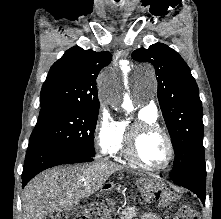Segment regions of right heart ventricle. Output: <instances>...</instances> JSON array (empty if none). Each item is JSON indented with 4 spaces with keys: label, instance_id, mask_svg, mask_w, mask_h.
<instances>
[{
    "label": "right heart ventricle",
    "instance_id": "1",
    "mask_svg": "<svg viewBox=\"0 0 221 219\" xmlns=\"http://www.w3.org/2000/svg\"><path fill=\"white\" fill-rule=\"evenodd\" d=\"M138 119L142 121H147V122H152L155 123L157 120V116H153L152 114L141 110L138 115ZM129 127V121L122 120L118 122V127H117V133H116V138L115 141L112 145V147L109 150V154L111 155H119L123 158H127L124 148H125V136L126 132Z\"/></svg>",
    "mask_w": 221,
    "mask_h": 219
}]
</instances>
